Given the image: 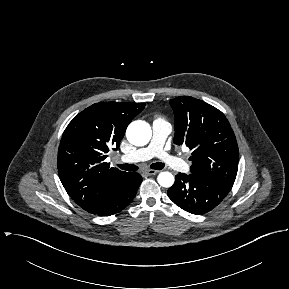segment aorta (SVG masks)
I'll return each instance as SVG.
<instances>
[{"label":"aorta","mask_w":289,"mask_h":289,"mask_svg":"<svg viewBox=\"0 0 289 289\" xmlns=\"http://www.w3.org/2000/svg\"><path fill=\"white\" fill-rule=\"evenodd\" d=\"M151 136L150 125L141 120L133 121L126 130L127 140L135 146L146 145L150 141ZM157 181L160 186L169 188L174 184V176L170 172L164 171L158 175Z\"/></svg>","instance_id":"obj_1"}]
</instances>
